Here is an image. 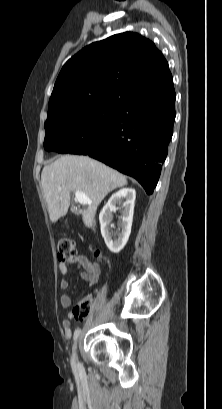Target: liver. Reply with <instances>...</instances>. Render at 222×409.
Returning <instances> with one entry per match:
<instances>
[{"instance_id":"6515ba94","label":"liver","mask_w":222,"mask_h":409,"mask_svg":"<svg viewBox=\"0 0 222 409\" xmlns=\"http://www.w3.org/2000/svg\"><path fill=\"white\" fill-rule=\"evenodd\" d=\"M41 185L53 223L67 214L71 192L85 193L92 204L81 214L84 224L90 227L102 200L111 191L127 185V178L90 157L65 155L43 168Z\"/></svg>"}]
</instances>
